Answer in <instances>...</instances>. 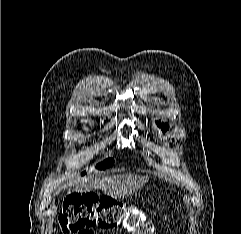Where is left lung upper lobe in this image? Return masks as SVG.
<instances>
[{
	"label": "left lung upper lobe",
	"instance_id": "5c2ea615",
	"mask_svg": "<svg viewBox=\"0 0 241 234\" xmlns=\"http://www.w3.org/2000/svg\"><path fill=\"white\" fill-rule=\"evenodd\" d=\"M158 126L161 128L163 132L167 131L169 129V126L167 124L162 123L161 121L158 123Z\"/></svg>",
	"mask_w": 241,
	"mask_h": 234
}]
</instances>
